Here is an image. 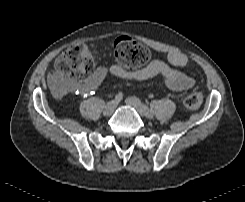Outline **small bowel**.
Returning <instances> with one entry per match:
<instances>
[{
    "instance_id": "small-bowel-1",
    "label": "small bowel",
    "mask_w": 245,
    "mask_h": 202,
    "mask_svg": "<svg viewBox=\"0 0 245 202\" xmlns=\"http://www.w3.org/2000/svg\"><path fill=\"white\" fill-rule=\"evenodd\" d=\"M184 64V55L175 50L168 53L166 60L154 59L145 67L135 70L125 69L112 62L107 67L97 68L86 80L74 82L75 89L71 91V94L75 95L76 92L84 95L91 94L101 86L109 73L130 81H144L158 77L172 91H187L194 85V79L177 69V67H182ZM64 93L67 92L64 91Z\"/></svg>"
}]
</instances>
